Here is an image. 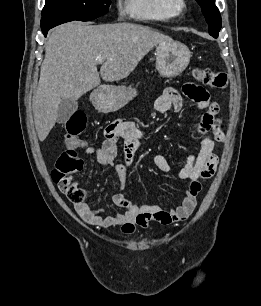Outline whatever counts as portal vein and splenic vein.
<instances>
[{"instance_id": "18ae733b", "label": "portal vein and splenic vein", "mask_w": 261, "mask_h": 306, "mask_svg": "<svg viewBox=\"0 0 261 306\" xmlns=\"http://www.w3.org/2000/svg\"><path fill=\"white\" fill-rule=\"evenodd\" d=\"M96 61H97L98 64H101V63L104 62V58H102V57H97V58H96Z\"/></svg>"}]
</instances>
